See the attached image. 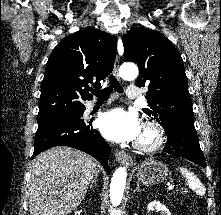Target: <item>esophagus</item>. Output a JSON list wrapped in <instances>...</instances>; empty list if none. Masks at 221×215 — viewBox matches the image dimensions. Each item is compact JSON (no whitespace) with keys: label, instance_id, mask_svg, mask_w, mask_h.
Wrapping results in <instances>:
<instances>
[{"label":"esophagus","instance_id":"34e87169","mask_svg":"<svg viewBox=\"0 0 221 215\" xmlns=\"http://www.w3.org/2000/svg\"><path fill=\"white\" fill-rule=\"evenodd\" d=\"M114 74L116 75L117 78H120L118 59H116L114 62ZM115 156H116V160L119 163L130 165L133 162L132 158L130 156H128L123 150L117 151Z\"/></svg>","mask_w":221,"mask_h":215}]
</instances>
